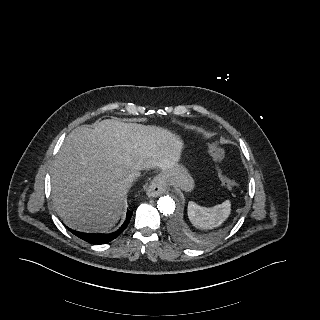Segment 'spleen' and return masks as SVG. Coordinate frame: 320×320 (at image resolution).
<instances>
[{
  "label": "spleen",
  "instance_id": "obj_1",
  "mask_svg": "<svg viewBox=\"0 0 320 320\" xmlns=\"http://www.w3.org/2000/svg\"><path fill=\"white\" fill-rule=\"evenodd\" d=\"M230 212V200L211 208L199 206L194 202H189L188 204L189 220L195 227L200 229H213L220 226L229 217Z\"/></svg>",
  "mask_w": 320,
  "mask_h": 320
}]
</instances>
